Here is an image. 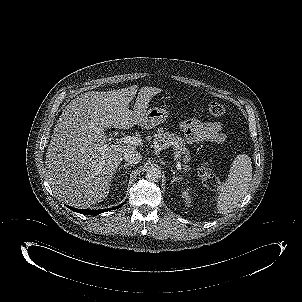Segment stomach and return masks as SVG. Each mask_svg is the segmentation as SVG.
<instances>
[{
  "label": "stomach",
  "mask_w": 302,
  "mask_h": 302,
  "mask_svg": "<svg viewBox=\"0 0 302 302\" xmlns=\"http://www.w3.org/2000/svg\"><path fill=\"white\" fill-rule=\"evenodd\" d=\"M168 117L167 108L152 107L148 109L145 113V123L144 127L151 129L155 126H158L161 123H164Z\"/></svg>",
  "instance_id": "0dacf381"
}]
</instances>
